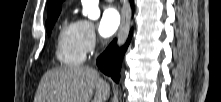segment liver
Returning <instances> with one entry per match:
<instances>
[{
	"mask_svg": "<svg viewBox=\"0 0 221 102\" xmlns=\"http://www.w3.org/2000/svg\"><path fill=\"white\" fill-rule=\"evenodd\" d=\"M105 102L110 86L97 70L84 66H64L47 71L42 77L34 102Z\"/></svg>",
	"mask_w": 221,
	"mask_h": 102,
	"instance_id": "1",
	"label": "liver"
}]
</instances>
